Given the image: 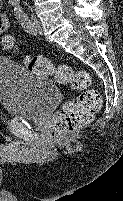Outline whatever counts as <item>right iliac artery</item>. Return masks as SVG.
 I'll list each match as a JSON object with an SVG mask.
<instances>
[{"instance_id":"right-iliac-artery-1","label":"right iliac artery","mask_w":123,"mask_h":201,"mask_svg":"<svg viewBox=\"0 0 123 201\" xmlns=\"http://www.w3.org/2000/svg\"><path fill=\"white\" fill-rule=\"evenodd\" d=\"M9 3H10L12 6H16V5H18L19 0H9Z\"/></svg>"}]
</instances>
